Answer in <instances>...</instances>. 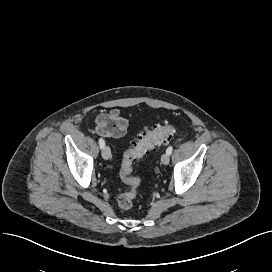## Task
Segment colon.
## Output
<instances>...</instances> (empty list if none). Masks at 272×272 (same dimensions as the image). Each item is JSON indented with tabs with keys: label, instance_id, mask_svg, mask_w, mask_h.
Instances as JSON below:
<instances>
[{
	"label": "colon",
	"instance_id": "obj_1",
	"mask_svg": "<svg viewBox=\"0 0 272 272\" xmlns=\"http://www.w3.org/2000/svg\"><path fill=\"white\" fill-rule=\"evenodd\" d=\"M125 129L126 119L118 111L102 114L96 120V130L104 136L118 137L124 134ZM174 132L175 127L170 123L158 125L133 139L130 147L124 151L120 177L129 189L117 198L118 206L121 209H131L138 194L141 179L132 175L135 161L154 150L159 144L167 143Z\"/></svg>",
	"mask_w": 272,
	"mask_h": 272
}]
</instances>
